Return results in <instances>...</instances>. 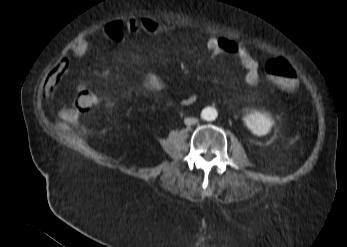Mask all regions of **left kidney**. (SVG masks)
<instances>
[{
	"mask_svg": "<svg viewBox=\"0 0 347 247\" xmlns=\"http://www.w3.org/2000/svg\"><path fill=\"white\" fill-rule=\"evenodd\" d=\"M246 126L257 136L269 133L274 121L271 115L265 111H254L244 117Z\"/></svg>",
	"mask_w": 347,
	"mask_h": 247,
	"instance_id": "5707ae66",
	"label": "left kidney"
}]
</instances>
